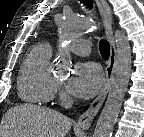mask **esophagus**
<instances>
[{
	"mask_svg": "<svg viewBox=\"0 0 144 137\" xmlns=\"http://www.w3.org/2000/svg\"><path fill=\"white\" fill-rule=\"evenodd\" d=\"M96 4L98 6L100 15L105 25L106 35L110 44V56L107 67L105 69L106 78L102 90L100 91L99 95L92 101L87 111L83 113L77 121V126L83 130H88L91 127L93 119L96 117L107 96L114 76L117 59L116 47L112 30L113 20L111 10L109 8L108 3L105 0H96Z\"/></svg>",
	"mask_w": 144,
	"mask_h": 137,
	"instance_id": "esophagus-1",
	"label": "esophagus"
}]
</instances>
